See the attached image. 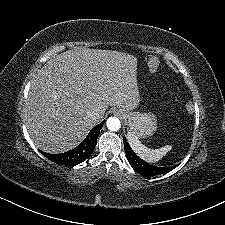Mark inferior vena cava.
I'll use <instances>...</instances> for the list:
<instances>
[{
	"mask_svg": "<svg viewBox=\"0 0 225 225\" xmlns=\"http://www.w3.org/2000/svg\"><path fill=\"white\" fill-rule=\"evenodd\" d=\"M87 115L89 117H92V118H96V117H99L100 116V112L99 110L95 109V110H90L87 112Z\"/></svg>",
	"mask_w": 225,
	"mask_h": 225,
	"instance_id": "obj_1",
	"label": "inferior vena cava"
}]
</instances>
